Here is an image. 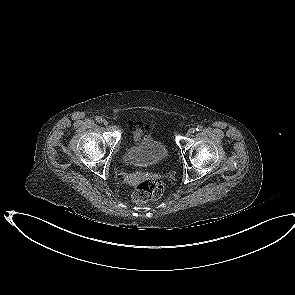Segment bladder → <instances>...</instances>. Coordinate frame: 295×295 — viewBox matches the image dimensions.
<instances>
[{
	"label": "bladder",
	"instance_id": "31cf9c89",
	"mask_svg": "<svg viewBox=\"0 0 295 295\" xmlns=\"http://www.w3.org/2000/svg\"><path fill=\"white\" fill-rule=\"evenodd\" d=\"M169 157L166 144L152 136L145 137L138 145L127 149L123 161L131 166L146 167L165 161Z\"/></svg>",
	"mask_w": 295,
	"mask_h": 295
}]
</instances>
